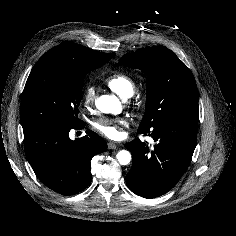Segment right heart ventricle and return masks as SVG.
<instances>
[{
  "instance_id": "right-heart-ventricle-1",
  "label": "right heart ventricle",
  "mask_w": 236,
  "mask_h": 236,
  "mask_svg": "<svg viewBox=\"0 0 236 236\" xmlns=\"http://www.w3.org/2000/svg\"><path fill=\"white\" fill-rule=\"evenodd\" d=\"M106 86L122 98L130 97L135 91L134 80L125 73H114L105 79Z\"/></svg>"
}]
</instances>
